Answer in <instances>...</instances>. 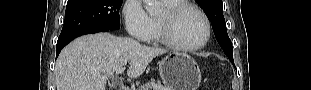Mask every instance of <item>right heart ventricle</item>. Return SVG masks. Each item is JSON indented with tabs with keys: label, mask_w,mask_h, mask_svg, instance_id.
I'll use <instances>...</instances> for the list:
<instances>
[{
	"label": "right heart ventricle",
	"mask_w": 311,
	"mask_h": 90,
	"mask_svg": "<svg viewBox=\"0 0 311 90\" xmlns=\"http://www.w3.org/2000/svg\"><path fill=\"white\" fill-rule=\"evenodd\" d=\"M164 5L166 8H170L173 7L177 4H180L181 1L178 0H164L163 1ZM150 23H151V30H150V34L148 37V40L153 41V42H161L160 41V36H159V29H158V17L151 15L150 16Z\"/></svg>",
	"instance_id": "1"
}]
</instances>
